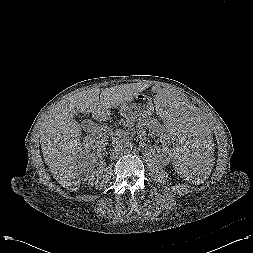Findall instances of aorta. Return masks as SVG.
Listing matches in <instances>:
<instances>
[{
	"instance_id": "762f6f07",
	"label": "aorta",
	"mask_w": 253,
	"mask_h": 253,
	"mask_svg": "<svg viewBox=\"0 0 253 253\" xmlns=\"http://www.w3.org/2000/svg\"><path fill=\"white\" fill-rule=\"evenodd\" d=\"M132 143L128 140L126 141H123L121 144H120V149L123 153H127V152H130L132 150Z\"/></svg>"
}]
</instances>
